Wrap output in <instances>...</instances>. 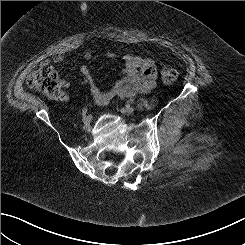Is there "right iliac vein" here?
Here are the masks:
<instances>
[{
    "instance_id": "right-iliac-vein-1",
    "label": "right iliac vein",
    "mask_w": 245,
    "mask_h": 245,
    "mask_svg": "<svg viewBox=\"0 0 245 245\" xmlns=\"http://www.w3.org/2000/svg\"><path fill=\"white\" fill-rule=\"evenodd\" d=\"M82 122L85 126H88L90 124V118L87 115H84L82 118Z\"/></svg>"
}]
</instances>
